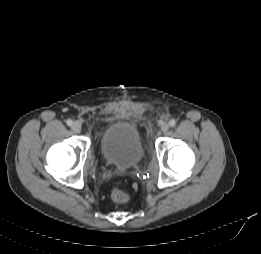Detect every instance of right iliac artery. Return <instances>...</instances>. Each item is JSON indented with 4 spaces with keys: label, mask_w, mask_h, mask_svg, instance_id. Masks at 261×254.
I'll return each mask as SVG.
<instances>
[{
    "label": "right iliac artery",
    "mask_w": 261,
    "mask_h": 254,
    "mask_svg": "<svg viewBox=\"0 0 261 254\" xmlns=\"http://www.w3.org/2000/svg\"><path fill=\"white\" fill-rule=\"evenodd\" d=\"M66 123H67L68 126H71V125L73 124L72 120H70V119H68V120L66 121Z\"/></svg>",
    "instance_id": "right-iliac-artery-1"
}]
</instances>
